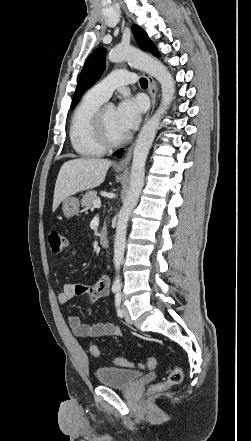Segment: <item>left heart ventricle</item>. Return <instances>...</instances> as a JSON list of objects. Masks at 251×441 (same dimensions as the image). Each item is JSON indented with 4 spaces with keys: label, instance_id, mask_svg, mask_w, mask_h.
<instances>
[{
    "label": "left heart ventricle",
    "instance_id": "b2bd125f",
    "mask_svg": "<svg viewBox=\"0 0 251 441\" xmlns=\"http://www.w3.org/2000/svg\"><path fill=\"white\" fill-rule=\"evenodd\" d=\"M104 121L109 136L113 139H118L124 136V133L117 124L116 109L113 107H106L104 110Z\"/></svg>",
    "mask_w": 251,
    "mask_h": 441
}]
</instances>
